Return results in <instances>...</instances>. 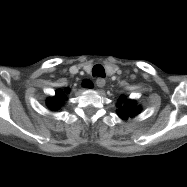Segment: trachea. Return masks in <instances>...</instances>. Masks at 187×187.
Here are the masks:
<instances>
[{
  "label": "trachea",
  "instance_id": "3493384b",
  "mask_svg": "<svg viewBox=\"0 0 187 187\" xmlns=\"http://www.w3.org/2000/svg\"><path fill=\"white\" fill-rule=\"evenodd\" d=\"M92 75L98 77H105V70L102 65L97 64L92 69Z\"/></svg>",
  "mask_w": 187,
  "mask_h": 187
}]
</instances>
